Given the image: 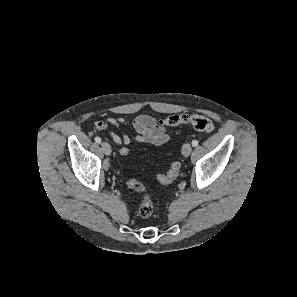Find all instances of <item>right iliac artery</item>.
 Returning <instances> with one entry per match:
<instances>
[{"mask_svg":"<svg viewBox=\"0 0 297 297\" xmlns=\"http://www.w3.org/2000/svg\"><path fill=\"white\" fill-rule=\"evenodd\" d=\"M94 140H95L96 143H101V138L98 137V136H96Z\"/></svg>","mask_w":297,"mask_h":297,"instance_id":"obj_1","label":"right iliac artery"}]
</instances>
